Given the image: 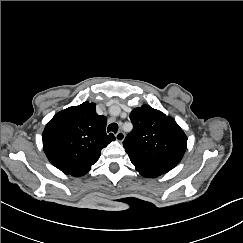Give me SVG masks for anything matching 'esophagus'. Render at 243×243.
I'll return each mask as SVG.
<instances>
[{
	"label": "esophagus",
	"instance_id": "1",
	"mask_svg": "<svg viewBox=\"0 0 243 243\" xmlns=\"http://www.w3.org/2000/svg\"><path fill=\"white\" fill-rule=\"evenodd\" d=\"M115 137L117 141L122 142L125 139V134L122 131H118Z\"/></svg>",
	"mask_w": 243,
	"mask_h": 243
}]
</instances>
